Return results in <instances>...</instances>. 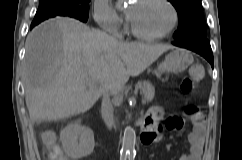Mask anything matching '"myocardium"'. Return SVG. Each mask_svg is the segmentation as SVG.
<instances>
[{
    "mask_svg": "<svg viewBox=\"0 0 242 160\" xmlns=\"http://www.w3.org/2000/svg\"><path fill=\"white\" fill-rule=\"evenodd\" d=\"M162 1L170 8V10L172 12V17H173L172 23L168 27V29H166L164 32H162L160 34H155V35L142 34L135 29V27L132 25L129 17H127L128 29L134 37H136L140 40H144V41H156V40H160V39L167 37L175 30V28L177 27L178 22H179L178 10L171 0H162Z\"/></svg>",
    "mask_w": 242,
    "mask_h": 160,
    "instance_id": "1",
    "label": "myocardium"
}]
</instances>
